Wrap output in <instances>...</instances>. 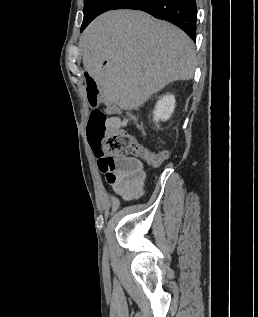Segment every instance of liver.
Instances as JSON below:
<instances>
[{
  "instance_id": "1",
  "label": "liver",
  "mask_w": 258,
  "mask_h": 317,
  "mask_svg": "<svg viewBox=\"0 0 258 317\" xmlns=\"http://www.w3.org/2000/svg\"><path fill=\"white\" fill-rule=\"evenodd\" d=\"M80 44L84 68L107 104L138 108L173 80L193 78V40L142 10H109L85 28Z\"/></svg>"
}]
</instances>
